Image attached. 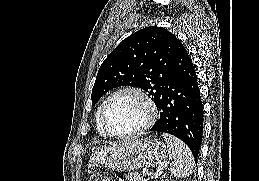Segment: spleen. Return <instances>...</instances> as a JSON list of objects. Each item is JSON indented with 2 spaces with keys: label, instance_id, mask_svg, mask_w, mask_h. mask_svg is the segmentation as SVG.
<instances>
[{
  "label": "spleen",
  "instance_id": "spleen-1",
  "mask_svg": "<svg viewBox=\"0 0 259 181\" xmlns=\"http://www.w3.org/2000/svg\"><path fill=\"white\" fill-rule=\"evenodd\" d=\"M167 143L168 154L171 160L170 172L174 177L184 178L189 176L194 168V158L188 146L175 136L163 133Z\"/></svg>",
  "mask_w": 259,
  "mask_h": 181
}]
</instances>
